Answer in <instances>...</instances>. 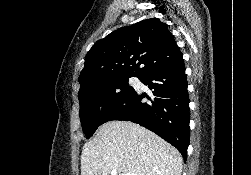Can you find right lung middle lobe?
I'll return each instance as SVG.
<instances>
[{"label": "right lung middle lobe", "instance_id": "right-lung-middle-lobe-1", "mask_svg": "<svg viewBox=\"0 0 251 175\" xmlns=\"http://www.w3.org/2000/svg\"><path fill=\"white\" fill-rule=\"evenodd\" d=\"M130 77L132 76H123L103 85L80 88L79 116L87 138L102 124L105 114L134 91L128 82Z\"/></svg>", "mask_w": 251, "mask_h": 175}]
</instances>
